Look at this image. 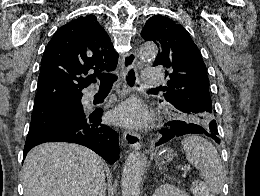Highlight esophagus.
<instances>
[{"label": "esophagus", "mask_w": 260, "mask_h": 196, "mask_svg": "<svg viewBox=\"0 0 260 196\" xmlns=\"http://www.w3.org/2000/svg\"><path fill=\"white\" fill-rule=\"evenodd\" d=\"M136 54L134 51L125 53L122 57V67L125 73L129 72L135 67ZM123 138L130 148L139 149L142 146L141 137L134 131H124Z\"/></svg>", "instance_id": "esophagus-1"}]
</instances>
